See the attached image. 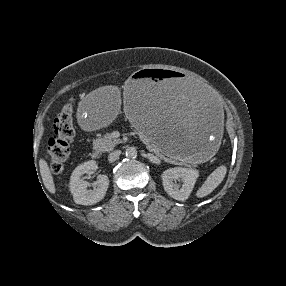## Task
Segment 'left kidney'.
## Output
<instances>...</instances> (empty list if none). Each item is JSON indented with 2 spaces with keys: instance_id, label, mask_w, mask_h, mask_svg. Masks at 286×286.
Instances as JSON below:
<instances>
[{
  "instance_id": "5707ae66",
  "label": "left kidney",
  "mask_w": 286,
  "mask_h": 286,
  "mask_svg": "<svg viewBox=\"0 0 286 286\" xmlns=\"http://www.w3.org/2000/svg\"><path fill=\"white\" fill-rule=\"evenodd\" d=\"M199 172L195 169L174 167L165 170L162 174V183L167 194L175 200L185 201L191 194ZM183 182L180 188L174 181Z\"/></svg>"
}]
</instances>
